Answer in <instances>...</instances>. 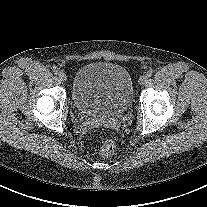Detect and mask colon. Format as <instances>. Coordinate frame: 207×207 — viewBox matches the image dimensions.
I'll use <instances>...</instances> for the list:
<instances>
[{"instance_id":"colon-1","label":"colon","mask_w":207,"mask_h":207,"mask_svg":"<svg viewBox=\"0 0 207 207\" xmlns=\"http://www.w3.org/2000/svg\"><path fill=\"white\" fill-rule=\"evenodd\" d=\"M116 145L112 139H106L100 147V155L103 157H110L114 154Z\"/></svg>"}]
</instances>
